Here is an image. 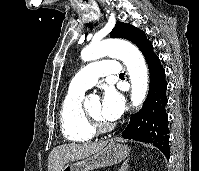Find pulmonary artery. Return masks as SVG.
I'll return each instance as SVG.
<instances>
[{
  "mask_svg": "<svg viewBox=\"0 0 199 171\" xmlns=\"http://www.w3.org/2000/svg\"><path fill=\"white\" fill-rule=\"evenodd\" d=\"M121 69L113 60H97L83 67L72 79L69 88L74 91H85L96 84L98 78L118 75Z\"/></svg>",
  "mask_w": 199,
  "mask_h": 171,
  "instance_id": "1",
  "label": "pulmonary artery"
}]
</instances>
